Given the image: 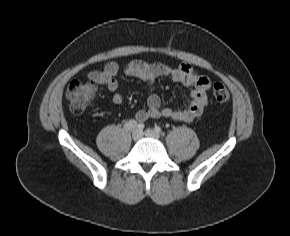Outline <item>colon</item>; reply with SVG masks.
<instances>
[{
  "label": "colon",
  "instance_id": "colon-1",
  "mask_svg": "<svg viewBox=\"0 0 290 236\" xmlns=\"http://www.w3.org/2000/svg\"><path fill=\"white\" fill-rule=\"evenodd\" d=\"M96 93L93 84L82 81L71 82L66 90V97L70 103V109L74 114H81L91 104ZM212 95L217 102H226L230 98V92L226 86L217 83L213 87Z\"/></svg>",
  "mask_w": 290,
  "mask_h": 236
}]
</instances>
